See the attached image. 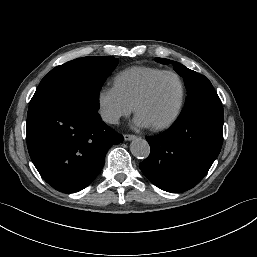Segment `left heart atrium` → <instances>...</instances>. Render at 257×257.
<instances>
[{"mask_svg": "<svg viewBox=\"0 0 257 257\" xmlns=\"http://www.w3.org/2000/svg\"><path fill=\"white\" fill-rule=\"evenodd\" d=\"M134 123L139 127H148L151 126L150 123L139 113H137Z\"/></svg>", "mask_w": 257, "mask_h": 257, "instance_id": "obj_1", "label": "left heart atrium"}]
</instances>
